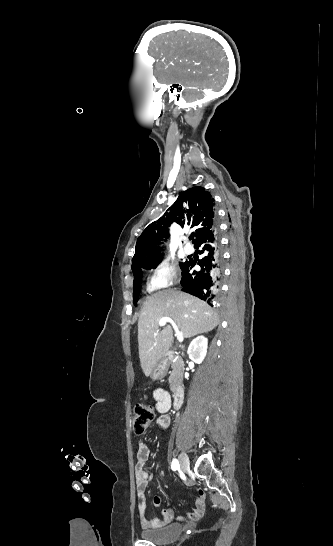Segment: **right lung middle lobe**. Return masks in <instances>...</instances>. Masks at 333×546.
Listing matches in <instances>:
<instances>
[{"instance_id": "right-lung-middle-lobe-1", "label": "right lung middle lobe", "mask_w": 333, "mask_h": 546, "mask_svg": "<svg viewBox=\"0 0 333 546\" xmlns=\"http://www.w3.org/2000/svg\"><path fill=\"white\" fill-rule=\"evenodd\" d=\"M183 265V263L180 264V267ZM156 268V267H154ZM140 274H137L134 276V294H133V302H137L138 294H139V283H140Z\"/></svg>"}]
</instances>
